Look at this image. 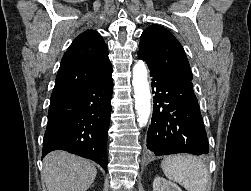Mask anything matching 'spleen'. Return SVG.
Segmentation results:
<instances>
[{"mask_svg": "<svg viewBox=\"0 0 251 191\" xmlns=\"http://www.w3.org/2000/svg\"><path fill=\"white\" fill-rule=\"evenodd\" d=\"M161 167L166 177L177 181L187 191H206L209 175L204 161L199 157L189 153L167 155L162 159Z\"/></svg>", "mask_w": 251, "mask_h": 191, "instance_id": "3e777b00", "label": "spleen"}]
</instances>
